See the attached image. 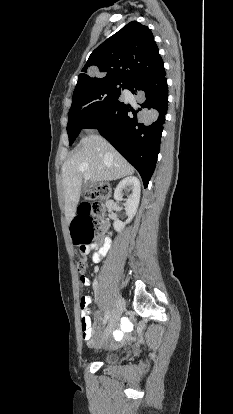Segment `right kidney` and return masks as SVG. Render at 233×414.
<instances>
[{"mask_svg":"<svg viewBox=\"0 0 233 414\" xmlns=\"http://www.w3.org/2000/svg\"><path fill=\"white\" fill-rule=\"evenodd\" d=\"M130 188L132 190V194L129 196V198L124 203L126 214L128 216V219L126 222H122L120 220H115L113 223L114 229L117 232H121L126 224L130 223V221L135 216L139 201H140V182L138 178L134 176H129L124 178L119 182L117 185L115 191H114V199L116 201H122V191L126 188Z\"/></svg>","mask_w":233,"mask_h":414,"instance_id":"obj_1","label":"right kidney"}]
</instances>
